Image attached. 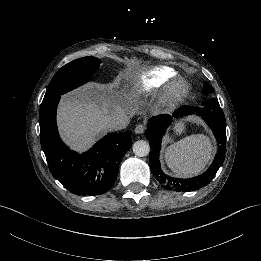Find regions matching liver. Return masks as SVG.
<instances>
[{"instance_id":"liver-1","label":"liver","mask_w":261,"mask_h":261,"mask_svg":"<svg viewBox=\"0 0 261 261\" xmlns=\"http://www.w3.org/2000/svg\"><path fill=\"white\" fill-rule=\"evenodd\" d=\"M119 82L110 86L89 84L63 97L59 108V126L68 142L84 148L100 137L109 121L118 113H131L133 104L118 97Z\"/></svg>"}]
</instances>
